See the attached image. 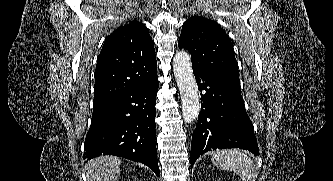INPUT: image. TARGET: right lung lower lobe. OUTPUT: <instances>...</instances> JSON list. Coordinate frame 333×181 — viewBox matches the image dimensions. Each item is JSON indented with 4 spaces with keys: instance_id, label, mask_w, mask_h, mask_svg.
Returning <instances> with one entry per match:
<instances>
[{
    "instance_id": "obj_1",
    "label": "right lung lower lobe",
    "mask_w": 333,
    "mask_h": 181,
    "mask_svg": "<svg viewBox=\"0 0 333 181\" xmlns=\"http://www.w3.org/2000/svg\"><path fill=\"white\" fill-rule=\"evenodd\" d=\"M158 79L94 107L84 159L101 154L141 162L159 175L155 144Z\"/></svg>"
}]
</instances>
